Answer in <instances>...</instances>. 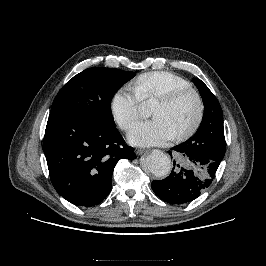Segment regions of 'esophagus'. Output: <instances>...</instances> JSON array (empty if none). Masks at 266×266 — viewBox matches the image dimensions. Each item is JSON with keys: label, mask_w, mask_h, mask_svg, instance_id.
I'll use <instances>...</instances> for the list:
<instances>
[{"label": "esophagus", "mask_w": 266, "mask_h": 266, "mask_svg": "<svg viewBox=\"0 0 266 266\" xmlns=\"http://www.w3.org/2000/svg\"><path fill=\"white\" fill-rule=\"evenodd\" d=\"M147 150L146 149H142V148H136L135 149V153L137 155H142L144 152H146Z\"/></svg>", "instance_id": "34e87169"}]
</instances>
